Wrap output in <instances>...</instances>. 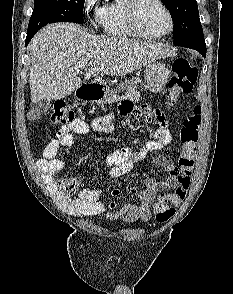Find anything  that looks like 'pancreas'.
<instances>
[{
  "instance_id": "1",
  "label": "pancreas",
  "mask_w": 233,
  "mask_h": 294,
  "mask_svg": "<svg viewBox=\"0 0 233 294\" xmlns=\"http://www.w3.org/2000/svg\"><path fill=\"white\" fill-rule=\"evenodd\" d=\"M107 92L110 93V98L113 100H117L121 98L119 95V92L117 91V87L107 89ZM121 92L124 94V96L122 97H124L125 99L138 101L141 97L140 92H138L136 88L132 85L127 86L125 89L122 88Z\"/></svg>"
}]
</instances>
